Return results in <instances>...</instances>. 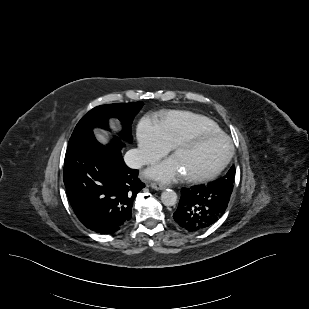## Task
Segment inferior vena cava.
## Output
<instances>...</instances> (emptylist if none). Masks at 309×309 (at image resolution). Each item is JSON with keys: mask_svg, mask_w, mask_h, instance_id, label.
Segmentation results:
<instances>
[{"mask_svg": "<svg viewBox=\"0 0 309 309\" xmlns=\"http://www.w3.org/2000/svg\"><path fill=\"white\" fill-rule=\"evenodd\" d=\"M158 160L156 156L143 153L137 149H132L126 152L124 161L126 165L133 169H138L142 165L154 163Z\"/></svg>", "mask_w": 309, "mask_h": 309, "instance_id": "inferior-vena-cava-1", "label": "inferior vena cava"}]
</instances>
